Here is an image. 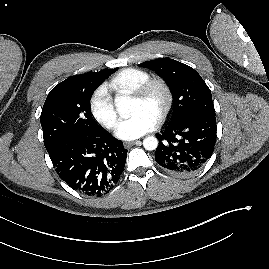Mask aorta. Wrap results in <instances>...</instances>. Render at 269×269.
<instances>
[{"mask_svg":"<svg viewBox=\"0 0 269 269\" xmlns=\"http://www.w3.org/2000/svg\"><path fill=\"white\" fill-rule=\"evenodd\" d=\"M132 100L127 96H117L115 98V106L117 112L123 118H128L131 112ZM143 146L146 150H155L158 146V140L154 136H148L143 140Z\"/></svg>","mask_w":269,"mask_h":269,"instance_id":"762f6f07","label":"aorta"}]
</instances>
